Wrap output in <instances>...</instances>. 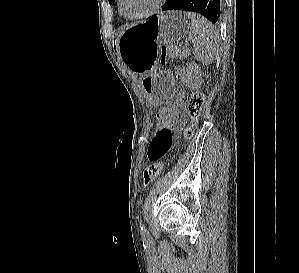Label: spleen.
I'll use <instances>...</instances> for the list:
<instances>
[{
	"label": "spleen",
	"mask_w": 299,
	"mask_h": 273,
	"mask_svg": "<svg viewBox=\"0 0 299 273\" xmlns=\"http://www.w3.org/2000/svg\"><path fill=\"white\" fill-rule=\"evenodd\" d=\"M193 35V54L202 64H211L218 53L219 33L207 19L196 13H185Z\"/></svg>",
	"instance_id": "obj_1"
}]
</instances>
